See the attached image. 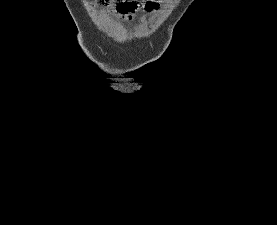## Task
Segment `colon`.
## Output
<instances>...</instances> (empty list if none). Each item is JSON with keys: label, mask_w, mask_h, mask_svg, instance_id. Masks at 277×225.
Masks as SVG:
<instances>
[{"label": "colon", "mask_w": 277, "mask_h": 225, "mask_svg": "<svg viewBox=\"0 0 277 225\" xmlns=\"http://www.w3.org/2000/svg\"><path fill=\"white\" fill-rule=\"evenodd\" d=\"M93 6L115 7L121 14H129L144 7L141 0H89Z\"/></svg>", "instance_id": "5ec220e1"}]
</instances>
